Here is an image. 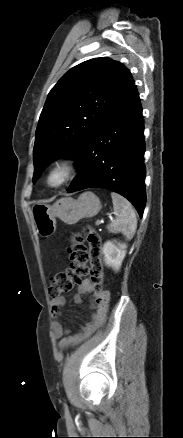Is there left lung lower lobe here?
Instances as JSON below:
<instances>
[{
    "label": "left lung lower lobe",
    "instance_id": "left-lung-lower-lobe-1",
    "mask_svg": "<svg viewBox=\"0 0 183 438\" xmlns=\"http://www.w3.org/2000/svg\"><path fill=\"white\" fill-rule=\"evenodd\" d=\"M143 131L142 108L134 86L82 145L75 158L78 174L68 193L108 189L128 199L142 217L146 204Z\"/></svg>",
    "mask_w": 183,
    "mask_h": 438
}]
</instances>
